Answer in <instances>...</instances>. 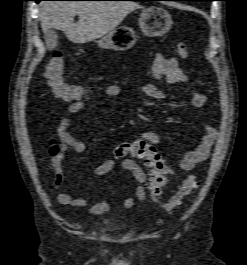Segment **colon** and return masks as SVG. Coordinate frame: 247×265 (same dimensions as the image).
Returning <instances> with one entry per match:
<instances>
[{"label":"colon","mask_w":247,"mask_h":265,"mask_svg":"<svg viewBox=\"0 0 247 265\" xmlns=\"http://www.w3.org/2000/svg\"><path fill=\"white\" fill-rule=\"evenodd\" d=\"M177 54L181 59L188 58L189 47L187 43L181 42L177 45ZM64 66L63 54L60 51H55L50 58L45 73L47 85L53 96L63 101L87 102L90 98L88 90L83 86L67 83L64 79ZM113 155L117 159L133 156L143 162L149 170L150 181L148 187L152 198L157 200L167 182V174L170 171L157 148L142 141L123 142L114 148ZM198 186L195 176L190 175L163 205V209L166 212H171L180 205L183 198L191 194Z\"/></svg>","instance_id":"obj_1"}]
</instances>
